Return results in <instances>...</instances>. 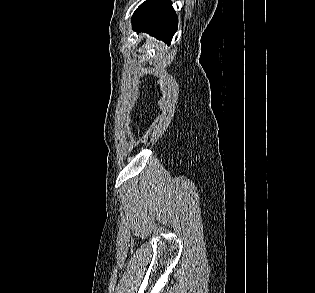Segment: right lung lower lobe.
Here are the masks:
<instances>
[{"mask_svg":"<svg viewBox=\"0 0 315 293\" xmlns=\"http://www.w3.org/2000/svg\"><path fill=\"white\" fill-rule=\"evenodd\" d=\"M178 19L170 0H146L135 11L132 25L157 39L171 42L177 30Z\"/></svg>","mask_w":315,"mask_h":293,"instance_id":"obj_1","label":"right lung lower lobe"}]
</instances>
